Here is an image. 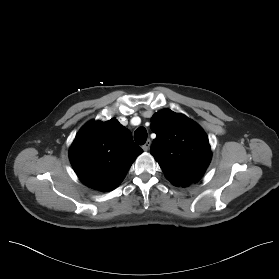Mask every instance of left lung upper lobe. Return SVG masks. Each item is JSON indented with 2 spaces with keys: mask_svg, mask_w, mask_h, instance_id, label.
Listing matches in <instances>:
<instances>
[{
  "mask_svg": "<svg viewBox=\"0 0 279 279\" xmlns=\"http://www.w3.org/2000/svg\"><path fill=\"white\" fill-rule=\"evenodd\" d=\"M151 130L156 138L150 153L170 182L196 183L211 160L208 138L201 127L182 114L169 109L155 113Z\"/></svg>",
  "mask_w": 279,
  "mask_h": 279,
  "instance_id": "5c2ea615",
  "label": "left lung upper lobe"
}]
</instances>
